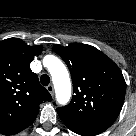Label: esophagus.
<instances>
[{
    "instance_id": "34e87169",
    "label": "esophagus",
    "mask_w": 136,
    "mask_h": 136,
    "mask_svg": "<svg viewBox=\"0 0 136 136\" xmlns=\"http://www.w3.org/2000/svg\"><path fill=\"white\" fill-rule=\"evenodd\" d=\"M47 90L52 96L54 95V86L52 84L47 86Z\"/></svg>"
}]
</instances>
